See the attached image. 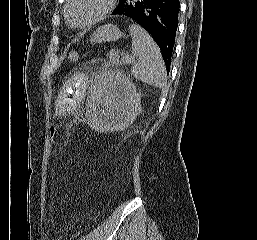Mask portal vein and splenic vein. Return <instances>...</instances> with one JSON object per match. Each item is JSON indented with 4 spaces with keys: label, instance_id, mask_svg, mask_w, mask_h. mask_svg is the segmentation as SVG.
I'll use <instances>...</instances> for the list:
<instances>
[{
    "label": "portal vein and splenic vein",
    "instance_id": "portal-vein-and-splenic-vein-1",
    "mask_svg": "<svg viewBox=\"0 0 257 240\" xmlns=\"http://www.w3.org/2000/svg\"><path fill=\"white\" fill-rule=\"evenodd\" d=\"M122 62L123 63H125V64H129V63H132V62H134L135 61V59H134V57H131V56H129V55H123L122 56Z\"/></svg>",
    "mask_w": 257,
    "mask_h": 240
}]
</instances>
